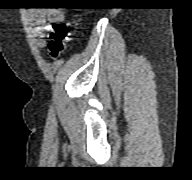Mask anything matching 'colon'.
<instances>
[{
  "label": "colon",
  "instance_id": "obj_1",
  "mask_svg": "<svg viewBox=\"0 0 192 180\" xmlns=\"http://www.w3.org/2000/svg\"><path fill=\"white\" fill-rule=\"evenodd\" d=\"M71 28L68 24L58 27L50 36L48 52L53 60L58 59L65 49L66 42L70 39Z\"/></svg>",
  "mask_w": 192,
  "mask_h": 180
}]
</instances>
